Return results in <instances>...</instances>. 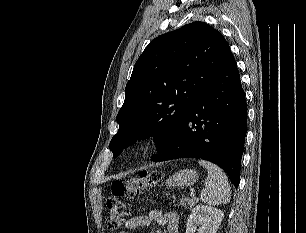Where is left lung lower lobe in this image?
<instances>
[{"label":"left lung lower lobe","instance_id":"obj_1","mask_svg":"<svg viewBox=\"0 0 306 233\" xmlns=\"http://www.w3.org/2000/svg\"><path fill=\"white\" fill-rule=\"evenodd\" d=\"M247 132V106L230 52L173 137L153 161L202 158L220 166L237 188Z\"/></svg>","mask_w":306,"mask_h":233}]
</instances>
